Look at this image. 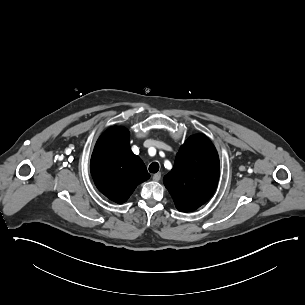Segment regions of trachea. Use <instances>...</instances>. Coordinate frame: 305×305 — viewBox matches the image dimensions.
Returning <instances> with one entry per match:
<instances>
[{
    "label": "trachea",
    "instance_id": "trachea-1",
    "mask_svg": "<svg viewBox=\"0 0 305 305\" xmlns=\"http://www.w3.org/2000/svg\"><path fill=\"white\" fill-rule=\"evenodd\" d=\"M160 166L157 162H153L149 165V172L150 173H157Z\"/></svg>",
    "mask_w": 305,
    "mask_h": 305
}]
</instances>
